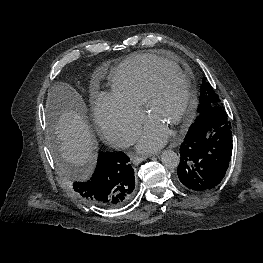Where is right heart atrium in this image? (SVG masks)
<instances>
[{"label":"right heart atrium","instance_id":"obj_1","mask_svg":"<svg viewBox=\"0 0 263 263\" xmlns=\"http://www.w3.org/2000/svg\"><path fill=\"white\" fill-rule=\"evenodd\" d=\"M94 117L102 134L120 146L129 145L142 122L141 110L112 94H101L94 103Z\"/></svg>","mask_w":263,"mask_h":263}]
</instances>
